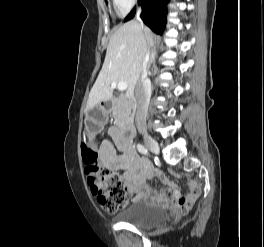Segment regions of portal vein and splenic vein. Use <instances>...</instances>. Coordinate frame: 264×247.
<instances>
[{"instance_id": "18ae733b", "label": "portal vein and splenic vein", "mask_w": 264, "mask_h": 247, "mask_svg": "<svg viewBox=\"0 0 264 247\" xmlns=\"http://www.w3.org/2000/svg\"><path fill=\"white\" fill-rule=\"evenodd\" d=\"M118 88L120 91H124V90H126L127 89V87H128V85H127V83L126 82H124V81H120V82H118V84L116 83V82H113L112 84H111V88Z\"/></svg>"}]
</instances>
